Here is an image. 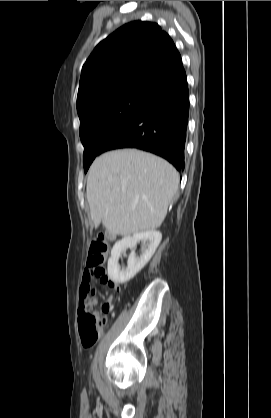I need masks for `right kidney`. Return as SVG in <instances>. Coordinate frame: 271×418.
<instances>
[{"mask_svg":"<svg viewBox=\"0 0 271 418\" xmlns=\"http://www.w3.org/2000/svg\"><path fill=\"white\" fill-rule=\"evenodd\" d=\"M162 239V234L156 230L135 233L131 237H124L115 243L108 260V276L115 283H126L132 279L151 259ZM146 243L142 254L137 257L132 251L128 257L127 267L120 268L118 264L121 253L127 248H135L138 242Z\"/></svg>","mask_w":271,"mask_h":418,"instance_id":"1","label":"right kidney"}]
</instances>
